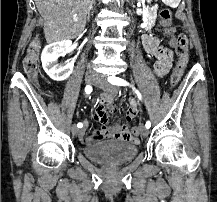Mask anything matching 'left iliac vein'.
I'll use <instances>...</instances> for the list:
<instances>
[{
	"mask_svg": "<svg viewBox=\"0 0 217 202\" xmlns=\"http://www.w3.org/2000/svg\"><path fill=\"white\" fill-rule=\"evenodd\" d=\"M94 85L98 86L100 89L104 90L105 92L112 93V94L117 93V88L112 86L102 77H99L97 81L94 82ZM140 131L142 136H148V129L145 126H141Z\"/></svg>",
	"mask_w": 217,
	"mask_h": 202,
	"instance_id": "obj_1",
	"label": "left iliac vein"
}]
</instances>
